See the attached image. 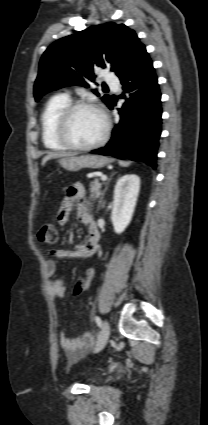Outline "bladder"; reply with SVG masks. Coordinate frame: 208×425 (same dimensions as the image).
Instances as JSON below:
<instances>
[{
    "label": "bladder",
    "mask_w": 208,
    "mask_h": 425,
    "mask_svg": "<svg viewBox=\"0 0 208 425\" xmlns=\"http://www.w3.org/2000/svg\"><path fill=\"white\" fill-rule=\"evenodd\" d=\"M89 381H90V382H93V381H94V377H93V376H91V377L89 378Z\"/></svg>",
    "instance_id": "obj_1"
}]
</instances>
